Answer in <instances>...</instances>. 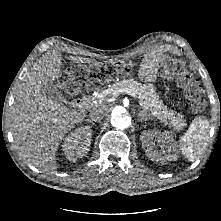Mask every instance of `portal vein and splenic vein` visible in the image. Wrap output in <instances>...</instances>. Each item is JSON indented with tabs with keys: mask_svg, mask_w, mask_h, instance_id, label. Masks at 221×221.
<instances>
[{
	"mask_svg": "<svg viewBox=\"0 0 221 221\" xmlns=\"http://www.w3.org/2000/svg\"><path fill=\"white\" fill-rule=\"evenodd\" d=\"M122 92H124V91L120 90V93H122ZM133 97H134V96H133Z\"/></svg>",
	"mask_w": 221,
	"mask_h": 221,
	"instance_id": "portal-vein-and-splenic-vein-1",
	"label": "portal vein and splenic vein"
}]
</instances>
